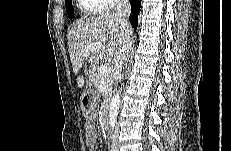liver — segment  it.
Wrapping results in <instances>:
<instances>
[{
  "label": "liver",
  "mask_w": 231,
  "mask_h": 151,
  "mask_svg": "<svg viewBox=\"0 0 231 151\" xmlns=\"http://www.w3.org/2000/svg\"><path fill=\"white\" fill-rule=\"evenodd\" d=\"M68 51L78 87L85 84L84 64H89V76L96 72L99 58L119 65L122 51L131 44L132 31L125 33L112 14L85 17L78 20L67 34ZM94 43H101V49H89ZM86 72V70H85Z\"/></svg>",
  "instance_id": "liver-1"
}]
</instances>
